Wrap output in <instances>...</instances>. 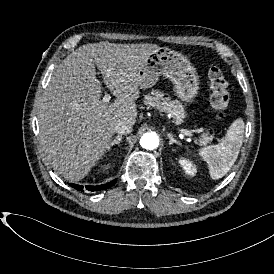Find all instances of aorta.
Wrapping results in <instances>:
<instances>
[{"mask_svg":"<svg viewBox=\"0 0 274 274\" xmlns=\"http://www.w3.org/2000/svg\"><path fill=\"white\" fill-rule=\"evenodd\" d=\"M140 145L147 150H154L159 146V137L155 132H147L140 139Z\"/></svg>","mask_w":274,"mask_h":274,"instance_id":"obj_1","label":"aorta"}]
</instances>
